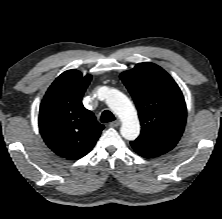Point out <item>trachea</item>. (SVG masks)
I'll use <instances>...</instances> for the list:
<instances>
[{"label": "trachea", "mask_w": 222, "mask_h": 219, "mask_svg": "<svg viewBox=\"0 0 222 219\" xmlns=\"http://www.w3.org/2000/svg\"><path fill=\"white\" fill-rule=\"evenodd\" d=\"M100 120L102 123H108L114 121L115 117L109 110H105L102 112Z\"/></svg>", "instance_id": "obj_1"}]
</instances>
